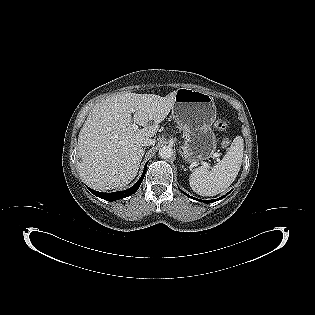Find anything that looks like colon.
<instances>
[{
  "label": "colon",
  "mask_w": 315,
  "mask_h": 315,
  "mask_svg": "<svg viewBox=\"0 0 315 315\" xmlns=\"http://www.w3.org/2000/svg\"><path fill=\"white\" fill-rule=\"evenodd\" d=\"M214 126L218 131H224L227 129L228 124H227V121L225 119L219 118L216 120ZM220 144L222 147L227 148L230 146L231 141L229 138L224 137L221 139Z\"/></svg>",
  "instance_id": "5ec220e1"
}]
</instances>
